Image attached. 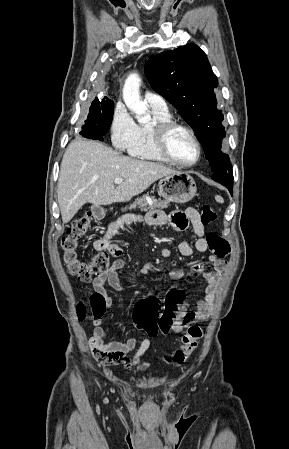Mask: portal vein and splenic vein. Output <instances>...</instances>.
I'll return each instance as SVG.
<instances>
[{"instance_id": "portal-vein-and-splenic-vein-1", "label": "portal vein and splenic vein", "mask_w": 289, "mask_h": 449, "mask_svg": "<svg viewBox=\"0 0 289 449\" xmlns=\"http://www.w3.org/2000/svg\"><path fill=\"white\" fill-rule=\"evenodd\" d=\"M123 182V179L122 178H116L115 180H114V183L115 184H120V183H122Z\"/></svg>"}]
</instances>
